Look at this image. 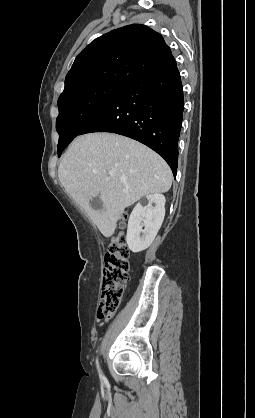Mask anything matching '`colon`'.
<instances>
[{
    "label": "colon",
    "instance_id": "1",
    "mask_svg": "<svg viewBox=\"0 0 255 418\" xmlns=\"http://www.w3.org/2000/svg\"><path fill=\"white\" fill-rule=\"evenodd\" d=\"M129 270V250L120 233L112 239L105 253L98 319L111 318L118 310L129 281Z\"/></svg>",
    "mask_w": 255,
    "mask_h": 418
}]
</instances>
